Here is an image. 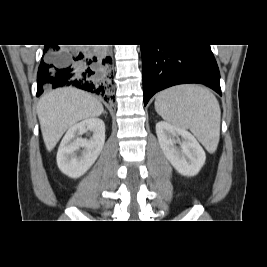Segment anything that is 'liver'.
Wrapping results in <instances>:
<instances>
[{"mask_svg": "<svg viewBox=\"0 0 267 267\" xmlns=\"http://www.w3.org/2000/svg\"><path fill=\"white\" fill-rule=\"evenodd\" d=\"M103 112L102 104L95 97L75 88H60L45 94L38 103L37 114L46 149L53 150L77 122L98 117Z\"/></svg>", "mask_w": 267, "mask_h": 267, "instance_id": "liver-1", "label": "liver"}]
</instances>
